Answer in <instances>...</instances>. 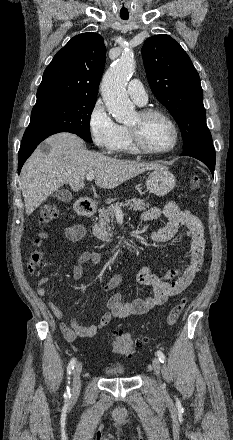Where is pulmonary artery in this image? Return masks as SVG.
Instances as JSON below:
<instances>
[{"label":"pulmonary artery","instance_id":"e3ab8cb5","mask_svg":"<svg viewBox=\"0 0 233 440\" xmlns=\"http://www.w3.org/2000/svg\"><path fill=\"white\" fill-rule=\"evenodd\" d=\"M127 92L138 105L142 106L147 102V93L141 81L137 79L131 80L128 83Z\"/></svg>","mask_w":233,"mask_h":440}]
</instances>
